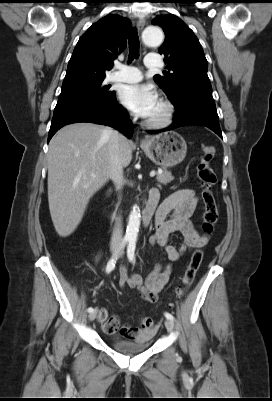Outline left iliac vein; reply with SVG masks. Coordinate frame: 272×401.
<instances>
[{"label": "left iliac vein", "mask_w": 272, "mask_h": 401, "mask_svg": "<svg viewBox=\"0 0 272 401\" xmlns=\"http://www.w3.org/2000/svg\"><path fill=\"white\" fill-rule=\"evenodd\" d=\"M165 327H166V329L168 330V331H173V329H174V323H173V321L172 320H170V319H166L165 320Z\"/></svg>", "instance_id": "4c4485c4"}]
</instances>
